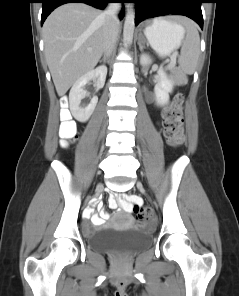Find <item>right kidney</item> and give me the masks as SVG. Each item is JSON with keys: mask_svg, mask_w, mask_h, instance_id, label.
<instances>
[{"mask_svg": "<svg viewBox=\"0 0 239 296\" xmlns=\"http://www.w3.org/2000/svg\"><path fill=\"white\" fill-rule=\"evenodd\" d=\"M106 75L107 67L99 66L82 75L73 84L69 93L70 111L79 122H85L90 118L98 102V97L93 96L88 105H81L82 99L86 96L85 85L89 81L95 80L97 89H100L105 84Z\"/></svg>", "mask_w": 239, "mask_h": 296, "instance_id": "ca27d5eb", "label": "right kidney"}]
</instances>
